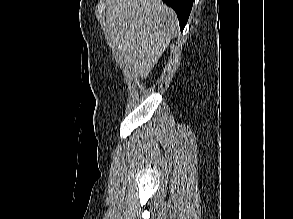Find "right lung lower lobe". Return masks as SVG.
<instances>
[{
    "mask_svg": "<svg viewBox=\"0 0 293 219\" xmlns=\"http://www.w3.org/2000/svg\"><path fill=\"white\" fill-rule=\"evenodd\" d=\"M167 5L172 7L177 13L179 19L180 29L185 27L188 17L190 15L193 0H163Z\"/></svg>",
    "mask_w": 293,
    "mask_h": 219,
    "instance_id": "obj_1",
    "label": "right lung lower lobe"
}]
</instances>
